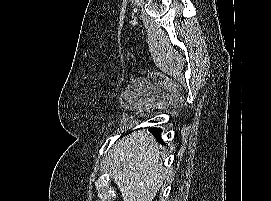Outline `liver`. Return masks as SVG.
<instances>
[{
  "instance_id": "1",
  "label": "liver",
  "mask_w": 271,
  "mask_h": 201,
  "mask_svg": "<svg viewBox=\"0 0 271 201\" xmlns=\"http://www.w3.org/2000/svg\"><path fill=\"white\" fill-rule=\"evenodd\" d=\"M161 149L145 129L129 134L111 148L109 171L124 201H153L168 177L160 162Z\"/></svg>"
}]
</instances>
